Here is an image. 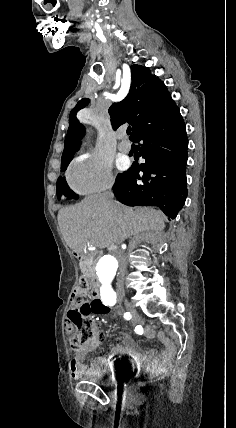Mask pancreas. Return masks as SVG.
I'll list each match as a JSON object with an SVG mask.
<instances>
[{
    "label": "pancreas",
    "instance_id": "obj_1",
    "mask_svg": "<svg viewBox=\"0 0 236 428\" xmlns=\"http://www.w3.org/2000/svg\"><path fill=\"white\" fill-rule=\"evenodd\" d=\"M88 266H90V264H84V262H81L80 264L81 272H84L85 268H88ZM89 270H92V274H94V268H89Z\"/></svg>",
    "mask_w": 236,
    "mask_h": 428
}]
</instances>
